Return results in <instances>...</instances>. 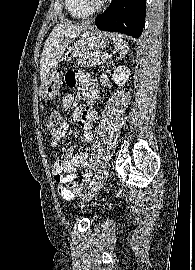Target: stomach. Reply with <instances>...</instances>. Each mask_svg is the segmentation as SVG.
I'll return each instance as SVG.
<instances>
[{"mask_svg": "<svg viewBox=\"0 0 195 270\" xmlns=\"http://www.w3.org/2000/svg\"><path fill=\"white\" fill-rule=\"evenodd\" d=\"M109 42L110 35L108 33L90 27L82 32L70 50L73 51V54H77L81 50H97L107 47ZM61 82L59 73L56 69H52L40 87V97L43 100L54 99L58 95Z\"/></svg>", "mask_w": 195, "mask_h": 270, "instance_id": "0dacf381", "label": "stomach"}]
</instances>
